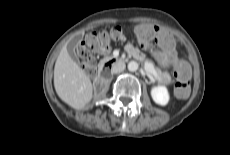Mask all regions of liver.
<instances>
[{"instance_id":"liver-1","label":"liver","mask_w":230,"mask_h":155,"mask_svg":"<svg viewBox=\"0 0 230 155\" xmlns=\"http://www.w3.org/2000/svg\"><path fill=\"white\" fill-rule=\"evenodd\" d=\"M54 87L62 101L74 109H82L93 96L90 78L84 70L73 61L65 44L55 63Z\"/></svg>"}]
</instances>
